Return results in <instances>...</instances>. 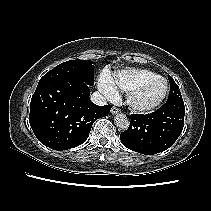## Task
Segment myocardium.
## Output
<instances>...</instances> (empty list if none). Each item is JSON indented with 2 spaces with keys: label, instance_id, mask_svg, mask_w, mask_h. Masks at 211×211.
Returning <instances> with one entry per match:
<instances>
[{
  "label": "myocardium",
  "instance_id": "f54148a6",
  "mask_svg": "<svg viewBox=\"0 0 211 211\" xmlns=\"http://www.w3.org/2000/svg\"><path fill=\"white\" fill-rule=\"evenodd\" d=\"M158 79L162 80L165 84V89L162 95L152 103H149L146 105L138 104L135 100L137 95L149 84H151L153 81L158 80ZM168 91H169V84H168L167 79L160 75H157L155 77H152L143 81L142 83L134 87L131 91H129L126 96V103L129 106V108L132 109L133 111H136L139 113H147V112L155 110L157 107H159L162 104V102L164 101V99L166 98L168 94Z\"/></svg>",
  "mask_w": 211,
  "mask_h": 211
}]
</instances>
